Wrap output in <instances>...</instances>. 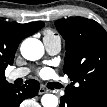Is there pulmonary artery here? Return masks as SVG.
<instances>
[{
    "label": "pulmonary artery",
    "mask_w": 107,
    "mask_h": 107,
    "mask_svg": "<svg viewBox=\"0 0 107 107\" xmlns=\"http://www.w3.org/2000/svg\"><path fill=\"white\" fill-rule=\"evenodd\" d=\"M44 46L48 54L56 55L61 50V39L58 36L54 37H44ZM29 73L28 68H18L10 72L8 78L9 80H15L18 78H23Z\"/></svg>",
    "instance_id": "e3ab8cb5"
}]
</instances>
